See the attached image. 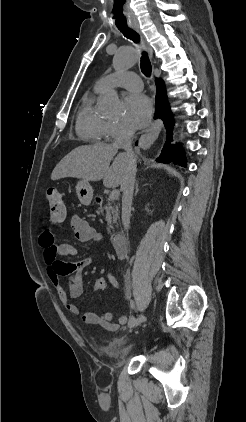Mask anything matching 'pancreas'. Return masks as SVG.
I'll use <instances>...</instances> for the list:
<instances>
[{"label": "pancreas", "mask_w": 246, "mask_h": 422, "mask_svg": "<svg viewBox=\"0 0 246 422\" xmlns=\"http://www.w3.org/2000/svg\"><path fill=\"white\" fill-rule=\"evenodd\" d=\"M98 211L101 213L105 212V219L107 221V231L108 233H110L113 229L112 224L117 223V219L119 216L118 206L114 204V202L110 198H108L107 203L104 206L101 205L98 208Z\"/></svg>", "instance_id": "cf45deb5"}]
</instances>
